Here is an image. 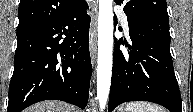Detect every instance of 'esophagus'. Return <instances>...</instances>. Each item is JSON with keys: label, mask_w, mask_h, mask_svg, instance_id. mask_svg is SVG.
<instances>
[{"label": "esophagus", "mask_w": 193, "mask_h": 112, "mask_svg": "<svg viewBox=\"0 0 193 112\" xmlns=\"http://www.w3.org/2000/svg\"><path fill=\"white\" fill-rule=\"evenodd\" d=\"M96 38H97L96 21H93L89 31V49L92 62L94 61L96 53Z\"/></svg>", "instance_id": "obj_1"}]
</instances>
